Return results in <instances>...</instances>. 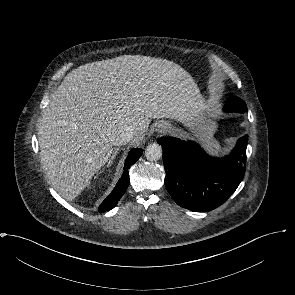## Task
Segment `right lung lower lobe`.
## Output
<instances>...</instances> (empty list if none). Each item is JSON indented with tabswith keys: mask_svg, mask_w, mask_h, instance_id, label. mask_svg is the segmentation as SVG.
<instances>
[{
	"mask_svg": "<svg viewBox=\"0 0 295 295\" xmlns=\"http://www.w3.org/2000/svg\"><path fill=\"white\" fill-rule=\"evenodd\" d=\"M142 149L137 148L130 151L124 165V173L122 177L119 179L118 183L116 184L115 188L111 192V194L102 202L98 211L100 213L109 211L117 204L119 199L125 193L128 185H129V173L128 168L130 165L134 164L141 156Z\"/></svg>",
	"mask_w": 295,
	"mask_h": 295,
	"instance_id": "98d812e1",
	"label": "right lung lower lobe"
}]
</instances>
